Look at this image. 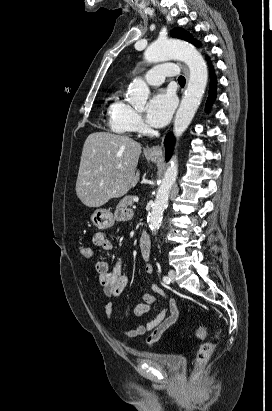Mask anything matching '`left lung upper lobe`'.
<instances>
[{
    "label": "left lung upper lobe",
    "mask_w": 272,
    "mask_h": 411,
    "mask_svg": "<svg viewBox=\"0 0 272 411\" xmlns=\"http://www.w3.org/2000/svg\"><path fill=\"white\" fill-rule=\"evenodd\" d=\"M172 37H176L179 39H183L186 40L190 43H193L195 46H200L199 42L195 39H193V37L191 36V34L185 30H183L182 28H174L171 32H170Z\"/></svg>",
    "instance_id": "5c2ea615"
}]
</instances>
